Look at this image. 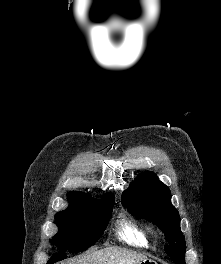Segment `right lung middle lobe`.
<instances>
[{"mask_svg": "<svg viewBox=\"0 0 221 264\" xmlns=\"http://www.w3.org/2000/svg\"><path fill=\"white\" fill-rule=\"evenodd\" d=\"M114 198L100 200L80 210L67 209L55 215L59 232L52 243L77 253L97 242L108 225ZM63 254H54L47 264L65 259Z\"/></svg>", "mask_w": 221, "mask_h": 264, "instance_id": "1", "label": "right lung middle lobe"}]
</instances>
